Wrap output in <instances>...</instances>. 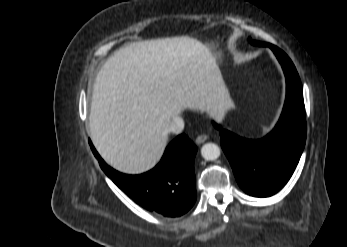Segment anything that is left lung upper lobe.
<instances>
[{"label": "left lung upper lobe", "instance_id": "left-lung-upper-lobe-1", "mask_svg": "<svg viewBox=\"0 0 347 247\" xmlns=\"http://www.w3.org/2000/svg\"><path fill=\"white\" fill-rule=\"evenodd\" d=\"M250 42H251L253 45H257V46H270V45H271V44H269V43L258 42V41H252V40H250Z\"/></svg>", "mask_w": 347, "mask_h": 247}]
</instances>
